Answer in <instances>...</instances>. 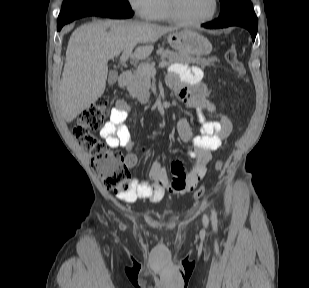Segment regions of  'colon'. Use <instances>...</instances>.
Returning <instances> with one entry per match:
<instances>
[{"label":"colon","instance_id":"1","mask_svg":"<svg viewBox=\"0 0 309 288\" xmlns=\"http://www.w3.org/2000/svg\"><path fill=\"white\" fill-rule=\"evenodd\" d=\"M225 59L231 68L246 80L244 65L234 47L226 50ZM109 112L108 98L99 97L78 115L72 131L79 145L89 153L91 166L104 187L115 194H124L131 189L132 185L126 158L121 153L113 151L106 142L94 134V131L101 127ZM220 167L221 161H218L216 168ZM169 190L171 191L170 187ZM204 191L205 186L202 184L196 189L194 198L200 199Z\"/></svg>","mask_w":309,"mask_h":288}]
</instances>
